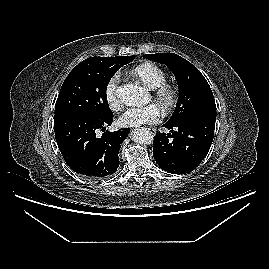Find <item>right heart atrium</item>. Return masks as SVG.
I'll return each instance as SVG.
<instances>
[{"label":"right heart atrium","mask_w":269,"mask_h":269,"mask_svg":"<svg viewBox=\"0 0 269 269\" xmlns=\"http://www.w3.org/2000/svg\"><path fill=\"white\" fill-rule=\"evenodd\" d=\"M121 76L119 72L114 73L107 80L104 87V97L108 107L117 111L121 108V100L118 96V85L120 83Z\"/></svg>","instance_id":"1"}]
</instances>
